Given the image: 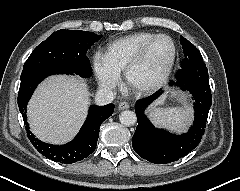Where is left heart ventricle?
I'll return each mask as SVG.
<instances>
[{"label": "left heart ventricle", "mask_w": 240, "mask_h": 191, "mask_svg": "<svg viewBox=\"0 0 240 191\" xmlns=\"http://www.w3.org/2000/svg\"><path fill=\"white\" fill-rule=\"evenodd\" d=\"M172 56V45L166 39L156 41L149 49L142 64L132 73V82L150 85L164 74Z\"/></svg>", "instance_id": "obj_1"}]
</instances>
